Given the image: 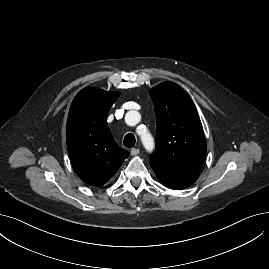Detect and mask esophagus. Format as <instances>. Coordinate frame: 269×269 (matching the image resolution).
Here are the masks:
<instances>
[{"instance_id":"1","label":"esophagus","mask_w":269,"mask_h":269,"mask_svg":"<svg viewBox=\"0 0 269 269\" xmlns=\"http://www.w3.org/2000/svg\"><path fill=\"white\" fill-rule=\"evenodd\" d=\"M139 152H140V150L138 148H132L131 151H130L132 156L138 155Z\"/></svg>"}]
</instances>
